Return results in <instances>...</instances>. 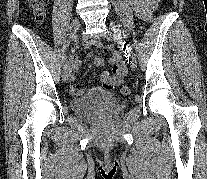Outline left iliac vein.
<instances>
[{
	"instance_id": "1",
	"label": "left iliac vein",
	"mask_w": 207,
	"mask_h": 179,
	"mask_svg": "<svg viewBox=\"0 0 207 179\" xmlns=\"http://www.w3.org/2000/svg\"><path fill=\"white\" fill-rule=\"evenodd\" d=\"M106 27L109 29V30H112L113 31H107L105 34H104V37L110 41H113L115 43H123V40H120L119 38V35H118V32H117V29L114 28V26H112L110 23H107L106 24ZM127 57H128V61L131 62V68L133 70L136 69L137 67V60H136V57L134 55V53H129V51H127Z\"/></svg>"
}]
</instances>
